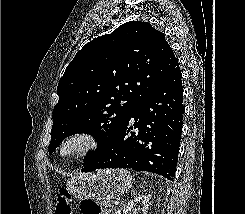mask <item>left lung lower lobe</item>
Returning <instances> with one entry per match:
<instances>
[{"label": "left lung lower lobe", "instance_id": "0a47b994", "mask_svg": "<svg viewBox=\"0 0 245 214\" xmlns=\"http://www.w3.org/2000/svg\"><path fill=\"white\" fill-rule=\"evenodd\" d=\"M179 64L148 95L124 123L115 139L86 161L81 172L130 168L173 180L182 132L183 87ZM134 118V128H128ZM130 133V134H129Z\"/></svg>", "mask_w": 245, "mask_h": 214}]
</instances>
